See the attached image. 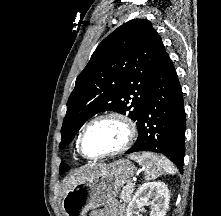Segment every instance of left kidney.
Here are the masks:
<instances>
[{"mask_svg":"<svg viewBox=\"0 0 221 216\" xmlns=\"http://www.w3.org/2000/svg\"><path fill=\"white\" fill-rule=\"evenodd\" d=\"M149 198L153 200L150 202ZM169 190L163 182H147L144 183L135 193L132 201L127 208V216H142L139 215V209L145 204L152 205L150 216H165L169 207Z\"/></svg>","mask_w":221,"mask_h":216,"instance_id":"left-kidney-1","label":"left kidney"}]
</instances>
